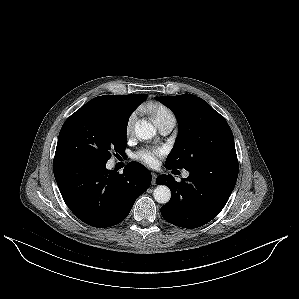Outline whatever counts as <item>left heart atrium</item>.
Instances as JSON below:
<instances>
[{
    "label": "left heart atrium",
    "instance_id": "39dd6f15",
    "mask_svg": "<svg viewBox=\"0 0 299 299\" xmlns=\"http://www.w3.org/2000/svg\"><path fill=\"white\" fill-rule=\"evenodd\" d=\"M164 155V149L160 147L143 148L135 154V158L149 167H156L159 159Z\"/></svg>",
    "mask_w": 299,
    "mask_h": 299
}]
</instances>
